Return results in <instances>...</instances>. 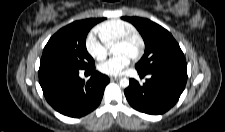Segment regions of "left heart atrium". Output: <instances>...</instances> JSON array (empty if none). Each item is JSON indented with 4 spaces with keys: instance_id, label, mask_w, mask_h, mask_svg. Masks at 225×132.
<instances>
[{
    "instance_id": "1",
    "label": "left heart atrium",
    "mask_w": 225,
    "mask_h": 132,
    "mask_svg": "<svg viewBox=\"0 0 225 132\" xmlns=\"http://www.w3.org/2000/svg\"><path fill=\"white\" fill-rule=\"evenodd\" d=\"M131 56L128 54H120L108 60L101 62L98 65V70L110 76L120 75L123 70L129 65Z\"/></svg>"
}]
</instances>
